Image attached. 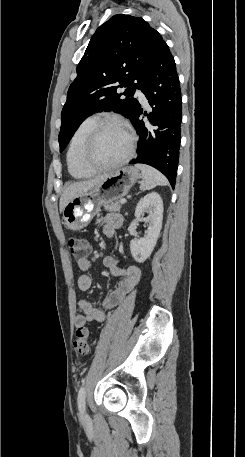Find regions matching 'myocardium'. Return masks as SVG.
I'll use <instances>...</instances> for the list:
<instances>
[{
	"label": "myocardium",
	"instance_id": "myocardium-1",
	"mask_svg": "<svg viewBox=\"0 0 245 457\" xmlns=\"http://www.w3.org/2000/svg\"><path fill=\"white\" fill-rule=\"evenodd\" d=\"M117 128L123 131L129 139V144L126 151L118 158L104 166H92L87 162L86 153L89 148L94 145L101 134V132L107 128ZM136 146V136L134 132L127 126L125 123L117 119H103L95 123V125L89 131L86 140L79 151L78 162L80 166L89 172L90 174L99 173L102 171H108L119 167L120 165L126 163L132 156Z\"/></svg>",
	"mask_w": 245,
	"mask_h": 457
}]
</instances>
